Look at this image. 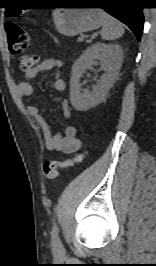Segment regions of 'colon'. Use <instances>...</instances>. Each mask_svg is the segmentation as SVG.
<instances>
[{"label":"colon","mask_w":156,"mask_h":266,"mask_svg":"<svg viewBox=\"0 0 156 266\" xmlns=\"http://www.w3.org/2000/svg\"><path fill=\"white\" fill-rule=\"evenodd\" d=\"M7 34L8 47L11 53L19 54L22 53L28 46L29 35L25 30L16 24H7L5 27ZM38 63V57L35 55L22 56L20 58V68L24 71L34 68ZM88 151L85 150L81 153H76L72 158L57 161H45L43 163V172L47 180L53 181L57 178L60 169H66L80 163Z\"/></svg>","instance_id":"5ec220e1"}]
</instances>
